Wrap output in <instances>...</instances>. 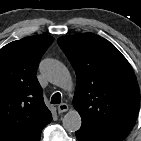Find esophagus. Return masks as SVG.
<instances>
[{
	"instance_id": "34e87169",
	"label": "esophagus",
	"mask_w": 141,
	"mask_h": 141,
	"mask_svg": "<svg viewBox=\"0 0 141 141\" xmlns=\"http://www.w3.org/2000/svg\"><path fill=\"white\" fill-rule=\"evenodd\" d=\"M57 108H58L59 113H63V112L68 111L69 106L66 103H61V104L58 105Z\"/></svg>"
}]
</instances>
